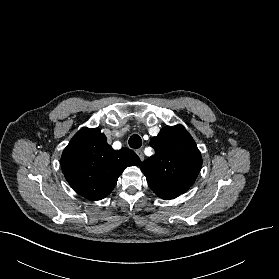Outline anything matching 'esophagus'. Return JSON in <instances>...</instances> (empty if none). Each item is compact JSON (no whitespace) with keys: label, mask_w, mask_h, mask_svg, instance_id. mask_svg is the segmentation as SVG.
I'll list each match as a JSON object with an SVG mask.
<instances>
[{"label":"esophagus","mask_w":279,"mask_h":279,"mask_svg":"<svg viewBox=\"0 0 279 279\" xmlns=\"http://www.w3.org/2000/svg\"><path fill=\"white\" fill-rule=\"evenodd\" d=\"M137 155L139 156L141 161H144V154L142 152V150H136Z\"/></svg>","instance_id":"esophagus-1"}]
</instances>
